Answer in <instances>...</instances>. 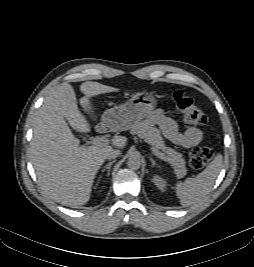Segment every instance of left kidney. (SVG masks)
<instances>
[{"label":"left kidney","instance_id":"5707ae66","mask_svg":"<svg viewBox=\"0 0 254 267\" xmlns=\"http://www.w3.org/2000/svg\"><path fill=\"white\" fill-rule=\"evenodd\" d=\"M153 183L161 191H164L166 189V187H167L166 181L162 177H160L159 175H155L153 177Z\"/></svg>","mask_w":254,"mask_h":267}]
</instances>
